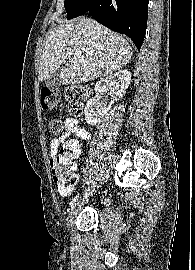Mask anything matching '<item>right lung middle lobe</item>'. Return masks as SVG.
<instances>
[{"instance_id": "dd1d6c3e", "label": "right lung middle lobe", "mask_w": 195, "mask_h": 270, "mask_svg": "<svg viewBox=\"0 0 195 270\" xmlns=\"http://www.w3.org/2000/svg\"><path fill=\"white\" fill-rule=\"evenodd\" d=\"M83 1L84 0H65L64 7L68 19L75 18L87 12L89 6L83 4Z\"/></svg>"}]
</instances>
